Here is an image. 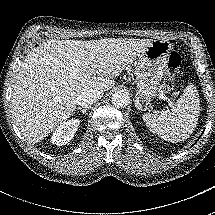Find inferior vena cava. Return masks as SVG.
I'll return each mask as SVG.
<instances>
[{
  "mask_svg": "<svg viewBox=\"0 0 215 215\" xmlns=\"http://www.w3.org/2000/svg\"><path fill=\"white\" fill-rule=\"evenodd\" d=\"M103 96V91L97 92H83L76 100L77 105L88 108L93 103L99 101Z\"/></svg>",
  "mask_w": 215,
  "mask_h": 215,
  "instance_id": "1",
  "label": "inferior vena cava"
}]
</instances>
